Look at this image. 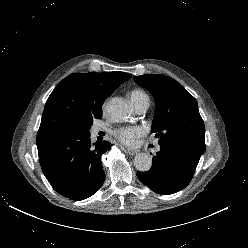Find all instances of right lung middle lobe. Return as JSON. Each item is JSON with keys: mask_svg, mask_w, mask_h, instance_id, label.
I'll return each instance as SVG.
<instances>
[{"mask_svg": "<svg viewBox=\"0 0 248 248\" xmlns=\"http://www.w3.org/2000/svg\"><path fill=\"white\" fill-rule=\"evenodd\" d=\"M102 117V114H98L94 117H91L89 119H87L86 121L82 122V123H79L75 126H73V128L79 130V131H82V132H86L88 133L89 132V129L91 128V125L93 123V119H100Z\"/></svg>", "mask_w": 248, "mask_h": 248, "instance_id": "obj_1", "label": "right lung middle lobe"}]
</instances>
